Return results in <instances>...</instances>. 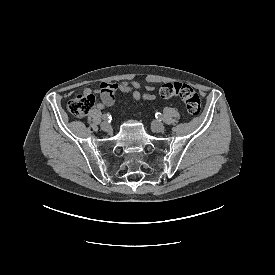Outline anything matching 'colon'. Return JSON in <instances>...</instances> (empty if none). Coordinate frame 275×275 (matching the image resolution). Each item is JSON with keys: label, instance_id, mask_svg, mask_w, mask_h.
<instances>
[{"label": "colon", "instance_id": "obj_1", "mask_svg": "<svg viewBox=\"0 0 275 275\" xmlns=\"http://www.w3.org/2000/svg\"><path fill=\"white\" fill-rule=\"evenodd\" d=\"M160 95L163 98L177 97L181 99L190 116L200 112L201 101L197 92L188 84L183 82H169L160 87ZM95 103L94 95H79L68 101L67 111L75 117H83L91 110Z\"/></svg>", "mask_w": 275, "mask_h": 275}]
</instances>
